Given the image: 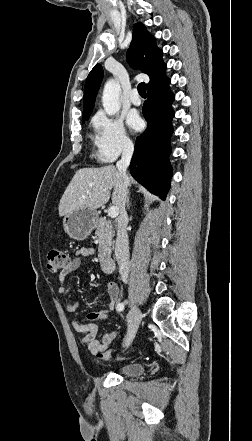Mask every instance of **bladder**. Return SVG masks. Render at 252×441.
Masks as SVG:
<instances>
[{"label":"bladder","instance_id":"31cf9c89","mask_svg":"<svg viewBox=\"0 0 252 441\" xmlns=\"http://www.w3.org/2000/svg\"><path fill=\"white\" fill-rule=\"evenodd\" d=\"M124 377H137L145 370V364L141 362H133L118 368H115Z\"/></svg>","mask_w":252,"mask_h":441}]
</instances>
